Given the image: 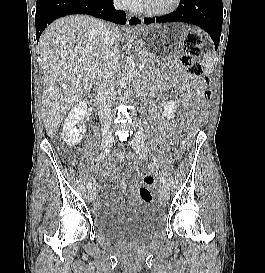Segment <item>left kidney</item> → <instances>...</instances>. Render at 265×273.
Returning <instances> with one entry per match:
<instances>
[{"instance_id":"1","label":"left kidney","mask_w":265,"mask_h":273,"mask_svg":"<svg viewBox=\"0 0 265 273\" xmlns=\"http://www.w3.org/2000/svg\"><path fill=\"white\" fill-rule=\"evenodd\" d=\"M176 109V102L174 100H170L165 104L163 114L168 120L173 119L175 117Z\"/></svg>"}]
</instances>
